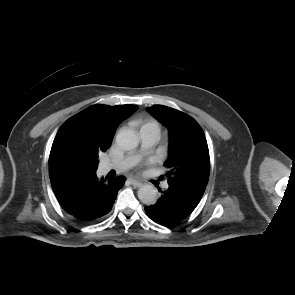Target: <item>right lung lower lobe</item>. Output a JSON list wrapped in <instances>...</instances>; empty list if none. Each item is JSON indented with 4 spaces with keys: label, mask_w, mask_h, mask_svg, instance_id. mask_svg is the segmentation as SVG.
<instances>
[{
    "label": "right lung lower lobe",
    "mask_w": 295,
    "mask_h": 295,
    "mask_svg": "<svg viewBox=\"0 0 295 295\" xmlns=\"http://www.w3.org/2000/svg\"><path fill=\"white\" fill-rule=\"evenodd\" d=\"M125 177L98 178L95 173L72 177H50L53 191L60 205L83 223L100 220L111 209Z\"/></svg>",
    "instance_id": "right-lung-lower-lobe-1"
}]
</instances>
